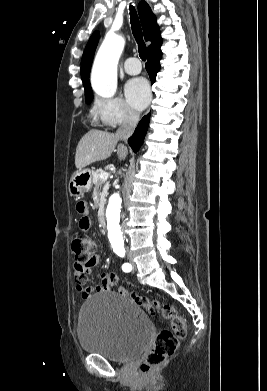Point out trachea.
<instances>
[{
	"mask_svg": "<svg viewBox=\"0 0 267 391\" xmlns=\"http://www.w3.org/2000/svg\"><path fill=\"white\" fill-rule=\"evenodd\" d=\"M129 9H130L131 29H132L133 35L138 43L139 56L143 61H146L147 49H146V45L143 41V35H142L140 21H139L137 12L134 9V6L130 5Z\"/></svg>",
	"mask_w": 267,
	"mask_h": 391,
	"instance_id": "3493384b",
	"label": "trachea"
}]
</instances>
